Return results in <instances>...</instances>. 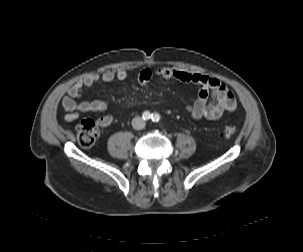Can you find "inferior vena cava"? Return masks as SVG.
Masks as SVG:
<instances>
[{"instance_id":"602c4592","label":"inferior vena cava","mask_w":303,"mask_h":252,"mask_svg":"<svg viewBox=\"0 0 303 252\" xmlns=\"http://www.w3.org/2000/svg\"><path fill=\"white\" fill-rule=\"evenodd\" d=\"M132 127L136 130H141L145 127V121L141 117H135L132 119Z\"/></svg>"}]
</instances>
